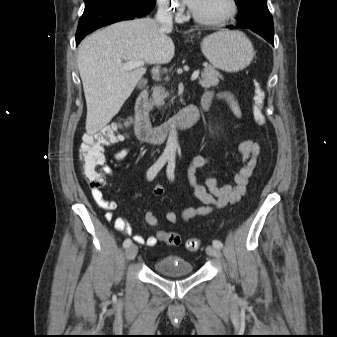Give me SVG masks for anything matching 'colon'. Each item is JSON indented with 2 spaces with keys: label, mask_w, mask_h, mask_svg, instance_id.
Wrapping results in <instances>:
<instances>
[{
  "label": "colon",
  "mask_w": 337,
  "mask_h": 337,
  "mask_svg": "<svg viewBox=\"0 0 337 337\" xmlns=\"http://www.w3.org/2000/svg\"><path fill=\"white\" fill-rule=\"evenodd\" d=\"M265 90L261 82H253L252 114L257 125H265L266 118L263 112L265 102ZM122 138V133L116 125L105 127L94 133H86L82 136L79 146V159L82 164V172L92 187L100 188L105 183L102 167L106 158V147L117 143ZM159 239L167 245L179 246L184 244L189 251L200 248L201 241L198 238L183 239L175 232L159 231Z\"/></svg>",
  "instance_id": "5ec220e1"
}]
</instances>
